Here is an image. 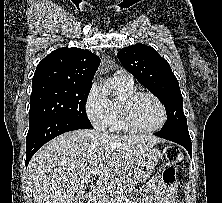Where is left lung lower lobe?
<instances>
[{
  "label": "left lung lower lobe",
  "instance_id": "left-lung-lower-lobe-1",
  "mask_svg": "<svg viewBox=\"0 0 222 203\" xmlns=\"http://www.w3.org/2000/svg\"><path fill=\"white\" fill-rule=\"evenodd\" d=\"M156 136H159L161 138L173 141L175 143H178L182 145L189 153V155L192 157V144L191 139L189 136V132H157L154 133Z\"/></svg>",
  "mask_w": 222,
  "mask_h": 203
}]
</instances>
